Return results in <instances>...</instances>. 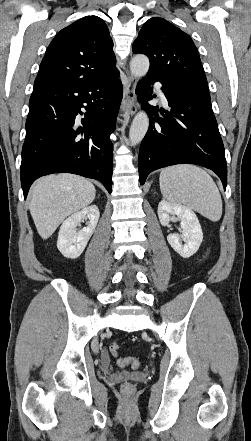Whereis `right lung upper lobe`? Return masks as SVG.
<instances>
[{"label": "right lung upper lobe", "mask_w": 251, "mask_h": 441, "mask_svg": "<svg viewBox=\"0 0 251 441\" xmlns=\"http://www.w3.org/2000/svg\"><path fill=\"white\" fill-rule=\"evenodd\" d=\"M113 41L105 22L86 16L54 37L34 82V90L76 85L116 71Z\"/></svg>", "instance_id": "right-lung-upper-lobe-1"}]
</instances>
